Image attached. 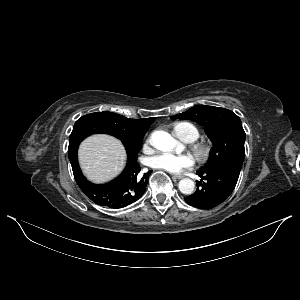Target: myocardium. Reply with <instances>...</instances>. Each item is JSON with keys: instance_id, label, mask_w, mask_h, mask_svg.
<instances>
[{"instance_id": "1", "label": "myocardium", "mask_w": 300, "mask_h": 300, "mask_svg": "<svg viewBox=\"0 0 300 300\" xmlns=\"http://www.w3.org/2000/svg\"><path fill=\"white\" fill-rule=\"evenodd\" d=\"M193 150L197 159L201 162H205L210 158L213 151V146L209 142L202 141L195 144Z\"/></svg>"}]
</instances>
